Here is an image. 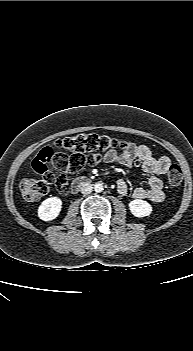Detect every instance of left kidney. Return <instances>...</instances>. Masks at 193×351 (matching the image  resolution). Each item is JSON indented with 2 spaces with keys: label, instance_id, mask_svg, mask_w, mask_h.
Listing matches in <instances>:
<instances>
[{
  "label": "left kidney",
  "instance_id": "1",
  "mask_svg": "<svg viewBox=\"0 0 193 351\" xmlns=\"http://www.w3.org/2000/svg\"><path fill=\"white\" fill-rule=\"evenodd\" d=\"M129 209L135 217H145L149 216L152 212L151 205L144 200L135 199L129 203Z\"/></svg>",
  "mask_w": 193,
  "mask_h": 351
}]
</instances>
